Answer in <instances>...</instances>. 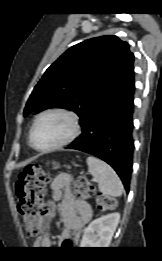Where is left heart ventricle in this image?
I'll return each mask as SVG.
<instances>
[{
    "label": "left heart ventricle",
    "mask_w": 162,
    "mask_h": 261,
    "mask_svg": "<svg viewBox=\"0 0 162 261\" xmlns=\"http://www.w3.org/2000/svg\"><path fill=\"white\" fill-rule=\"evenodd\" d=\"M68 118L58 114L43 117L34 130V143L37 147L45 148L63 139L70 131Z\"/></svg>",
    "instance_id": "obj_1"
}]
</instances>
